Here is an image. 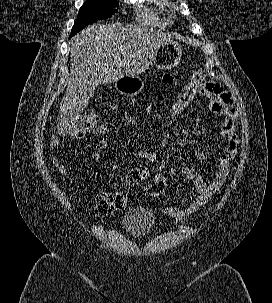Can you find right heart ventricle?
<instances>
[{
	"label": "right heart ventricle",
	"instance_id": "1",
	"mask_svg": "<svg viewBox=\"0 0 272 303\" xmlns=\"http://www.w3.org/2000/svg\"><path fill=\"white\" fill-rule=\"evenodd\" d=\"M140 20L146 25L162 26L164 21L159 15L149 8H144L140 14Z\"/></svg>",
	"mask_w": 272,
	"mask_h": 303
}]
</instances>
